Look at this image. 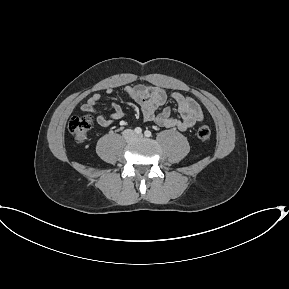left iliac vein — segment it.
<instances>
[{
    "label": "left iliac vein",
    "mask_w": 289,
    "mask_h": 289,
    "mask_svg": "<svg viewBox=\"0 0 289 289\" xmlns=\"http://www.w3.org/2000/svg\"><path fill=\"white\" fill-rule=\"evenodd\" d=\"M142 137H143L142 134H138V135L136 136V138H142Z\"/></svg>",
    "instance_id": "4c4485c4"
}]
</instances>
